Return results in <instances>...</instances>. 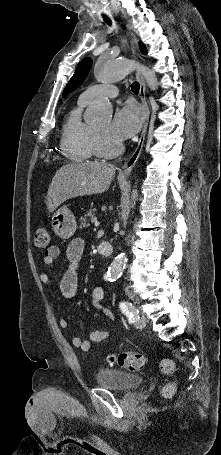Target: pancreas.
I'll list each match as a JSON object with an SVG mask.
<instances>
[{
    "instance_id": "obj_1",
    "label": "pancreas",
    "mask_w": 221,
    "mask_h": 455,
    "mask_svg": "<svg viewBox=\"0 0 221 455\" xmlns=\"http://www.w3.org/2000/svg\"><path fill=\"white\" fill-rule=\"evenodd\" d=\"M95 212H96V209H90L83 217H81L80 228H85V227L89 226L88 218L91 220V222H95V220H96V216L94 214Z\"/></svg>"
}]
</instances>
